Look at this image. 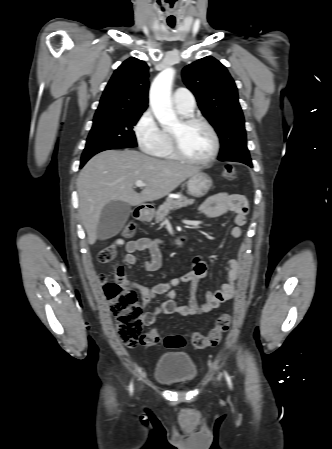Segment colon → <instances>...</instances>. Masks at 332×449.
I'll list each match as a JSON object with an SVG mask.
<instances>
[{
  "label": "colon",
  "instance_id": "5ec220e1",
  "mask_svg": "<svg viewBox=\"0 0 332 449\" xmlns=\"http://www.w3.org/2000/svg\"><path fill=\"white\" fill-rule=\"evenodd\" d=\"M223 174L226 179L233 180L237 175L236 167L227 164L224 167ZM135 232V223L129 222L124 227L122 236L131 238L135 235ZM123 243L122 238L111 242L98 252L97 261L100 264L111 262ZM102 280L104 281V279ZM103 289L111 303V312L117 320L119 336L122 342L129 347L154 346L163 343L168 348H178L184 346L188 341L199 349L216 346L231 325V316L222 314L217 318L214 328L207 335L195 332L187 336L181 334L169 335L162 339L155 329L142 332V308L137 302V293L126 281L117 279V281L105 282Z\"/></svg>",
  "mask_w": 332,
  "mask_h": 449
}]
</instances>
